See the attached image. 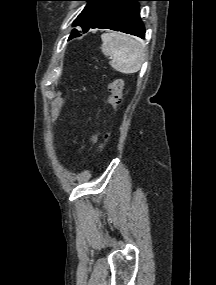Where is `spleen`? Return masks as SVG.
Listing matches in <instances>:
<instances>
[{
	"label": "spleen",
	"mask_w": 216,
	"mask_h": 285,
	"mask_svg": "<svg viewBox=\"0 0 216 285\" xmlns=\"http://www.w3.org/2000/svg\"><path fill=\"white\" fill-rule=\"evenodd\" d=\"M101 39L102 53L109 57L113 69L123 74H133L140 70L145 48L138 39L116 32L104 33Z\"/></svg>",
	"instance_id": "3e777b00"
}]
</instances>
